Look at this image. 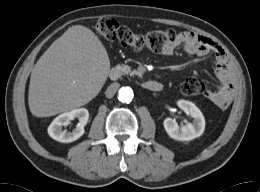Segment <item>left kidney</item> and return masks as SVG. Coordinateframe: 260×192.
<instances>
[{
	"label": "left kidney",
	"instance_id": "1",
	"mask_svg": "<svg viewBox=\"0 0 260 192\" xmlns=\"http://www.w3.org/2000/svg\"><path fill=\"white\" fill-rule=\"evenodd\" d=\"M177 105L189 114L193 121L180 127L174 119L166 118L163 125L167 134L178 141H189L201 136L205 130V119L200 109L194 103L186 100H179Z\"/></svg>",
	"mask_w": 260,
	"mask_h": 192
}]
</instances>
